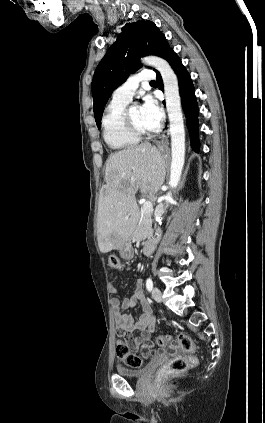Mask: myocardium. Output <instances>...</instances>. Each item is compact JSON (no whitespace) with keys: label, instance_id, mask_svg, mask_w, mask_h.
I'll use <instances>...</instances> for the list:
<instances>
[{"label":"myocardium","instance_id":"1","mask_svg":"<svg viewBox=\"0 0 265 423\" xmlns=\"http://www.w3.org/2000/svg\"><path fill=\"white\" fill-rule=\"evenodd\" d=\"M130 109L131 108H127L125 109L124 113H123V122L125 127L127 128V130L134 136L138 137V138H143V137H147L152 133V130H141L139 129L134 122L132 121L131 117H130Z\"/></svg>","mask_w":265,"mask_h":423}]
</instances>
